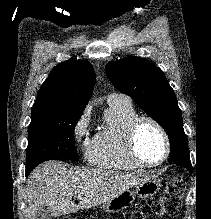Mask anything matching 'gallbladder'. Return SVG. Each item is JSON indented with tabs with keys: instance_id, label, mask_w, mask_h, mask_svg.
<instances>
[{
	"instance_id": "obj_1",
	"label": "gallbladder",
	"mask_w": 211,
	"mask_h": 219,
	"mask_svg": "<svg viewBox=\"0 0 211 219\" xmlns=\"http://www.w3.org/2000/svg\"><path fill=\"white\" fill-rule=\"evenodd\" d=\"M50 208L46 205L41 206L36 214V219H52Z\"/></svg>"
}]
</instances>
